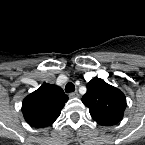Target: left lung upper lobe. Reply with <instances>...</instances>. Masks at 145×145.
Listing matches in <instances>:
<instances>
[{"mask_svg": "<svg viewBox=\"0 0 145 145\" xmlns=\"http://www.w3.org/2000/svg\"><path fill=\"white\" fill-rule=\"evenodd\" d=\"M82 102L89 108L91 117L102 126L119 123L126 109L123 92L98 77L88 82Z\"/></svg>", "mask_w": 145, "mask_h": 145, "instance_id": "1", "label": "left lung upper lobe"}]
</instances>
